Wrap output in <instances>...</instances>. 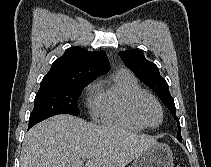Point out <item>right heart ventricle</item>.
I'll use <instances>...</instances> for the list:
<instances>
[{
	"mask_svg": "<svg viewBox=\"0 0 211 167\" xmlns=\"http://www.w3.org/2000/svg\"><path fill=\"white\" fill-rule=\"evenodd\" d=\"M143 91L130 71L119 69L107 83L97 85L93 116L107 125L135 132L142 131L145 127L133 115L131 101L136 94Z\"/></svg>",
	"mask_w": 211,
	"mask_h": 167,
	"instance_id": "right-heart-ventricle-1",
	"label": "right heart ventricle"
}]
</instances>
